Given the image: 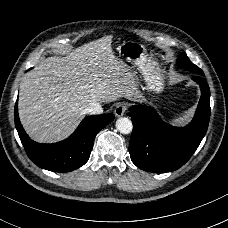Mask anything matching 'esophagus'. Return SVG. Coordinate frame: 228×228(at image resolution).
<instances>
[{"mask_svg": "<svg viewBox=\"0 0 228 228\" xmlns=\"http://www.w3.org/2000/svg\"><path fill=\"white\" fill-rule=\"evenodd\" d=\"M127 109L126 103H120L115 107L114 113L117 117H121L124 115L125 111Z\"/></svg>", "mask_w": 228, "mask_h": 228, "instance_id": "34e87169", "label": "esophagus"}]
</instances>
